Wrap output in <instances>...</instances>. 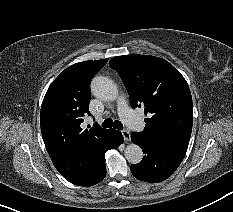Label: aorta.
Instances as JSON below:
<instances>
[{
    "label": "aorta",
    "mask_w": 233,
    "mask_h": 212,
    "mask_svg": "<svg viewBox=\"0 0 233 212\" xmlns=\"http://www.w3.org/2000/svg\"><path fill=\"white\" fill-rule=\"evenodd\" d=\"M92 93L104 100L114 101L118 97L117 85L109 78L104 76H97L91 82ZM125 158L131 164H138L143 159V151L136 144H129L125 148Z\"/></svg>",
    "instance_id": "1"
}]
</instances>
